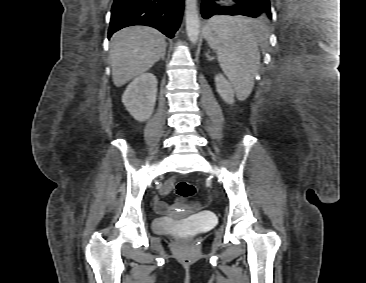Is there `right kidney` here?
Instances as JSON below:
<instances>
[{"instance_id": "right-kidney-1", "label": "right kidney", "mask_w": 366, "mask_h": 283, "mask_svg": "<svg viewBox=\"0 0 366 283\" xmlns=\"http://www.w3.org/2000/svg\"><path fill=\"white\" fill-rule=\"evenodd\" d=\"M156 97V77L152 73H143L127 86L122 102L134 119L143 122L151 117Z\"/></svg>"}]
</instances>
